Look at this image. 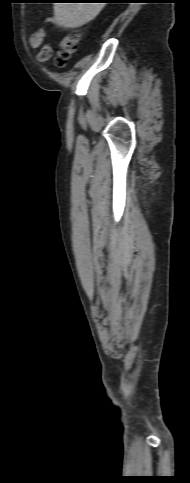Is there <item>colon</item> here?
Segmentation results:
<instances>
[{
    "label": "colon",
    "instance_id": "colon-1",
    "mask_svg": "<svg viewBox=\"0 0 190 483\" xmlns=\"http://www.w3.org/2000/svg\"><path fill=\"white\" fill-rule=\"evenodd\" d=\"M80 39L79 34L75 33L69 43L64 47V49L59 53L56 59V65L58 67H63L66 64V61L71 53H73L76 49V45Z\"/></svg>",
    "mask_w": 190,
    "mask_h": 483
}]
</instances>
